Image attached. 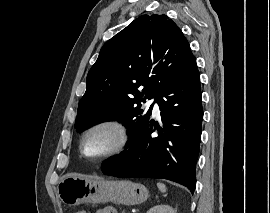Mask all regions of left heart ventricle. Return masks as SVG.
<instances>
[{
    "mask_svg": "<svg viewBox=\"0 0 270 213\" xmlns=\"http://www.w3.org/2000/svg\"><path fill=\"white\" fill-rule=\"evenodd\" d=\"M116 135L110 130H97L91 133L84 142V150L89 156H98L113 146Z\"/></svg>",
    "mask_w": 270,
    "mask_h": 213,
    "instance_id": "b2bd125f",
    "label": "left heart ventricle"
}]
</instances>
